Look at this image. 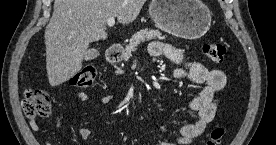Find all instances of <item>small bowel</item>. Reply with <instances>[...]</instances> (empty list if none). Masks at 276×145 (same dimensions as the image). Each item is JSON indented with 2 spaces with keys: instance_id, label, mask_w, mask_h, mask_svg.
I'll return each instance as SVG.
<instances>
[{
  "instance_id": "1",
  "label": "small bowel",
  "mask_w": 276,
  "mask_h": 145,
  "mask_svg": "<svg viewBox=\"0 0 276 145\" xmlns=\"http://www.w3.org/2000/svg\"><path fill=\"white\" fill-rule=\"evenodd\" d=\"M149 53L151 56H166L177 68L174 71V77L177 80H186L194 84H203L201 92L187 102L188 108L195 113L194 120L182 126L179 130V136L172 144L162 143L161 145H189L200 136L206 126L214 119L217 110L216 93L223 89L226 84L225 74L218 69H209L203 63L198 61H187L183 52L169 44L154 41L150 44ZM187 64V68L184 65ZM77 98L86 103L88 95L85 92H79ZM114 101L112 95L102 96L98 104L106 105ZM61 119L58 118L56 126L59 128ZM33 131L39 130V124L36 121L30 122ZM80 138L88 140L92 137V130L89 128H80L77 131ZM49 145L48 142L45 143Z\"/></svg>"
}]
</instances>
